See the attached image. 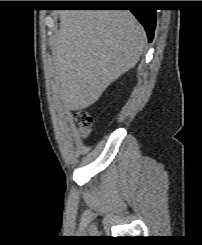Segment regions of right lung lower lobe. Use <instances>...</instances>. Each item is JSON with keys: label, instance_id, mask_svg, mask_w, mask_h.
<instances>
[{"label": "right lung lower lobe", "instance_id": "98d812e1", "mask_svg": "<svg viewBox=\"0 0 202 245\" xmlns=\"http://www.w3.org/2000/svg\"><path fill=\"white\" fill-rule=\"evenodd\" d=\"M143 4L142 1H132L129 5H134L130 11L136 16L139 22L144 26L148 41L151 42L154 36L156 24L155 10L138 7ZM86 6H122L120 3H88Z\"/></svg>", "mask_w": 202, "mask_h": 245}]
</instances>
